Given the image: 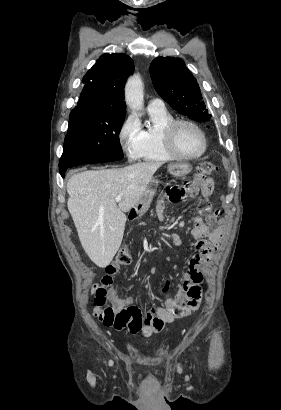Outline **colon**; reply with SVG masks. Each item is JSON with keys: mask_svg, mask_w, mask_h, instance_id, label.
<instances>
[{"mask_svg": "<svg viewBox=\"0 0 281 410\" xmlns=\"http://www.w3.org/2000/svg\"><path fill=\"white\" fill-rule=\"evenodd\" d=\"M216 166L210 162H202L198 166V173L202 176H209L215 173ZM187 191L180 184H172L166 189V197L171 202H179L186 198ZM201 205L206 206V198L201 199ZM131 261V255L127 248L119 250L116 256V263L118 265H127ZM93 293L96 297L104 294L102 285H95L93 287ZM200 299L197 296H191L189 306L192 309H197L200 305ZM141 315L140 310H129L127 312H117L111 307L105 308L103 311L97 314L100 321L106 326H112L116 329L122 330L128 328L129 330H135L139 325V317ZM130 318L133 320L130 321Z\"/></svg>", "mask_w": 281, "mask_h": 410, "instance_id": "obj_1", "label": "colon"}]
</instances>
